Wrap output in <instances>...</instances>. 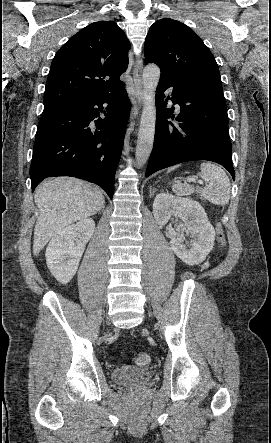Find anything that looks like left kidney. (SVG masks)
<instances>
[{
	"label": "left kidney",
	"mask_w": 271,
	"mask_h": 443,
	"mask_svg": "<svg viewBox=\"0 0 271 443\" xmlns=\"http://www.w3.org/2000/svg\"><path fill=\"white\" fill-rule=\"evenodd\" d=\"M153 214L158 225H165L171 216H177L185 222L192 239L188 245L184 243V233L171 237L170 245L177 257L187 265H198L206 259L214 245L215 229L208 222V216L199 202L190 198H174L170 194H158L153 202Z\"/></svg>",
	"instance_id": "1"
}]
</instances>
